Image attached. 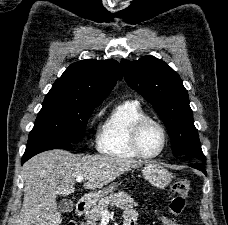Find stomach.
<instances>
[{"label":"stomach","mask_w":228,"mask_h":225,"mask_svg":"<svg viewBox=\"0 0 228 225\" xmlns=\"http://www.w3.org/2000/svg\"><path fill=\"white\" fill-rule=\"evenodd\" d=\"M143 177L146 179V181H149L151 183L152 187H156V189H165V187H168L170 185L173 177L167 169H164V167H161L159 163H149V165H145L143 167ZM116 187H118L117 183H112V185H109V187H106V189H101V191H98V193H91L90 195V203H96L98 199H102V197H107L109 193H113V191H116Z\"/></svg>","instance_id":"0dacf381"}]
</instances>
